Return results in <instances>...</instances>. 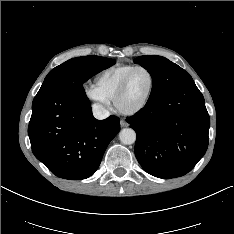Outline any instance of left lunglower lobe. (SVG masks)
I'll return each instance as SVG.
<instances>
[{"label":"left lung lower lobe","instance_id":"left-lung-lower-lobe-1","mask_svg":"<svg viewBox=\"0 0 234 234\" xmlns=\"http://www.w3.org/2000/svg\"><path fill=\"white\" fill-rule=\"evenodd\" d=\"M126 120L137 134L138 162L155 177L170 179L187 174L207 150L210 119L193 80L147 102Z\"/></svg>","mask_w":234,"mask_h":234}]
</instances>
